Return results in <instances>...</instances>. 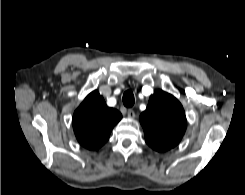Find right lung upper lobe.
<instances>
[{
    "instance_id": "obj_1",
    "label": "right lung upper lobe",
    "mask_w": 245,
    "mask_h": 195,
    "mask_svg": "<svg viewBox=\"0 0 245 195\" xmlns=\"http://www.w3.org/2000/svg\"><path fill=\"white\" fill-rule=\"evenodd\" d=\"M121 118V113L109 108L103 97L95 90L74 112V133L83 147L97 150L107 142L112 128Z\"/></svg>"
}]
</instances>
